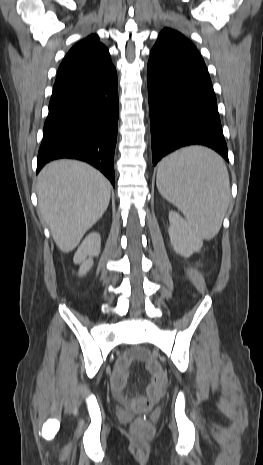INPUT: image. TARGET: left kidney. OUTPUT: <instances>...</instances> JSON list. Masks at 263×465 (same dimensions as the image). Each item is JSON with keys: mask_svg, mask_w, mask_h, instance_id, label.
Segmentation results:
<instances>
[{"mask_svg": "<svg viewBox=\"0 0 263 465\" xmlns=\"http://www.w3.org/2000/svg\"><path fill=\"white\" fill-rule=\"evenodd\" d=\"M169 222L170 242L176 253L188 258L194 252L200 251L203 245L201 237L178 213L170 211Z\"/></svg>", "mask_w": 263, "mask_h": 465, "instance_id": "left-kidney-1", "label": "left kidney"}]
</instances>
